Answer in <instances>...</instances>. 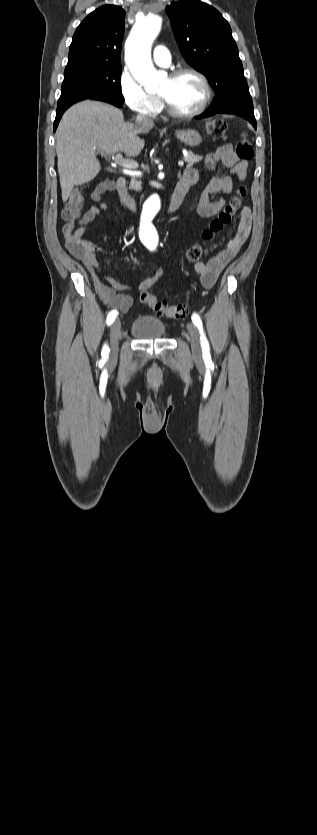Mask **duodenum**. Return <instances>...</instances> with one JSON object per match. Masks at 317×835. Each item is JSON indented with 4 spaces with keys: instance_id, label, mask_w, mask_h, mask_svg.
<instances>
[{
    "instance_id": "410a0bca",
    "label": "duodenum",
    "mask_w": 317,
    "mask_h": 835,
    "mask_svg": "<svg viewBox=\"0 0 317 835\" xmlns=\"http://www.w3.org/2000/svg\"><path fill=\"white\" fill-rule=\"evenodd\" d=\"M107 189L110 191H116L122 204L126 205L130 209H136V201L127 190V182L125 178L120 177L116 182L107 181ZM186 192L187 187L179 181L169 198L168 212H173L178 209Z\"/></svg>"
}]
</instances>
